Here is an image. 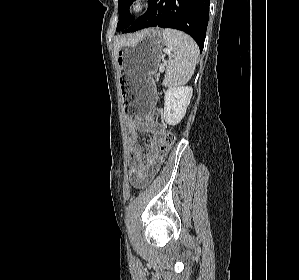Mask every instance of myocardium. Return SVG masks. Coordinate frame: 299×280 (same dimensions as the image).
<instances>
[{"instance_id": "1", "label": "myocardium", "mask_w": 299, "mask_h": 280, "mask_svg": "<svg viewBox=\"0 0 299 280\" xmlns=\"http://www.w3.org/2000/svg\"><path fill=\"white\" fill-rule=\"evenodd\" d=\"M149 6V0H133L129 6V13L132 16H140L149 9Z\"/></svg>"}]
</instances>
